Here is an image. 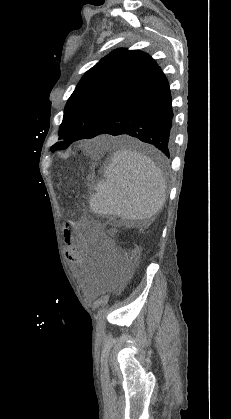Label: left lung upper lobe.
I'll use <instances>...</instances> for the list:
<instances>
[{
  "instance_id": "left-lung-upper-lobe-1",
  "label": "left lung upper lobe",
  "mask_w": 231,
  "mask_h": 419,
  "mask_svg": "<svg viewBox=\"0 0 231 419\" xmlns=\"http://www.w3.org/2000/svg\"><path fill=\"white\" fill-rule=\"evenodd\" d=\"M156 61L139 50L116 49L81 78L64 109L59 140L51 151L87 138L155 68Z\"/></svg>"
}]
</instances>
